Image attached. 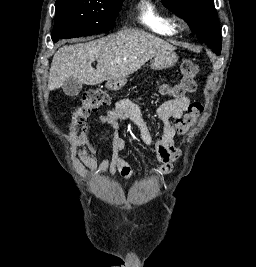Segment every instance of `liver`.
Returning a JSON list of instances; mask_svg holds the SVG:
<instances>
[{
    "mask_svg": "<svg viewBox=\"0 0 256 267\" xmlns=\"http://www.w3.org/2000/svg\"><path fill=\"white\" fill-rule=\"evenodd\" d=\"M174 50L177 48L165 40L130 28H122L95 42L62 46L53 56L48 90L61 88L70 76L88 86L102 84L105 80H123L148 60ZM94 60L98 62L96 70L91 66Z\"/></svg>",
    "mask_w": 256,
    "mask_h": 267,
    "instance_id": "liver-1",
    "label": "liver"
}]
</instances>
